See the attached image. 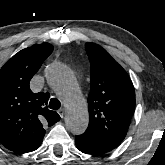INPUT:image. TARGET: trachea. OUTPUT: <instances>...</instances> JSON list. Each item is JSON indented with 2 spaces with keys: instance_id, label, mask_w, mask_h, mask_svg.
Wrapping results in <instances>:
<instances>
[{
  "instance_id": "3493384b",
  "label": "trachea",
  "mask_w": 165,
  "mask_h": 165,
  "mask_svg": "<svg viewBox=\"0 0 165 165\" xmlns=\"http://www.w3.org/2000/svg\"><path fill=\"white\" fill-rule=\"evenodd\" d=\"M60 107H61L60 101L56 98H51L49 102V108L53 110H58Z\"/></svg>"
}]
</instances>
